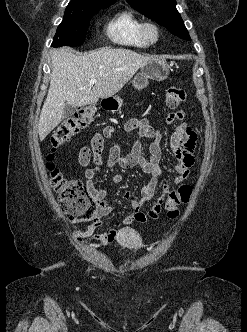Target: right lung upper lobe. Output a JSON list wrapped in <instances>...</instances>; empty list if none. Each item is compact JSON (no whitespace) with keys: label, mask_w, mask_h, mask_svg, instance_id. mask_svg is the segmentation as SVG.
Returning <instances> with one entry per match:
<instances>
[{"label":"right lung upper lobe","mask_w":247,"mask_h":332,"mask_svg":"<svg viewBox=\"0 0 247 332\" xmlns=\"http://www.w3.org/2000/svg\"><path fill=\"white\" fill-rule=\"evenodd\" d=\"M116 0H71L69 4L79 6L114 4Z\"/></svg>","instance_id":"1"}]
</instances>
